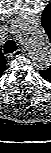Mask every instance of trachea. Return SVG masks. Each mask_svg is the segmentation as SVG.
Masks as SVG:
<instances>
[{
	"label": "trachea",
	"mask_w": 51,
	"mask_h": 153,
	"mask_svg": "<svg viewBox=\"0 0 51 153\" xmlns=\"http://www.w3.org/2000/svg\"><path fill=\"white\" fill-rule=\"evenodd\" d=\"M16 50H17V45H16L15 41H13V40H8L4 44V51L6 53H13Z\"/></svg>",
	"instance_id": "obj_1"
}]
</instances>
